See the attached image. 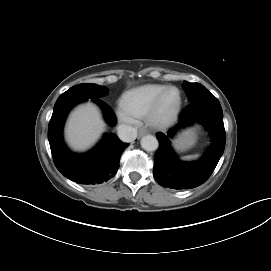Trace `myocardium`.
<instances>
[{
	"instance_id": "myocardium-1",
	"label": "myocardium",
	"mask_w": 271,
	"mask_h": 271,
	"mask_svg": "<svg viewBox=\"0 0 271 271\" xmlns=\"http://www.w3.org/2000/svg\"><path fill=\"white\" fill-rule=\"evenodd\" d=\"M176 91L178 95V100L175 105V107L169 112V113H162V104L164 101L165 96L170 91ZM182 94L179 88L176 86H167L154 100L153 104L151 105L148 114L147 119L148 122L155 128L158 129H165L172 125L175 120L177 119L181 107H182Z\"/></svg>"
}]
</instances>
